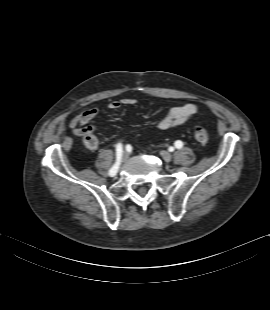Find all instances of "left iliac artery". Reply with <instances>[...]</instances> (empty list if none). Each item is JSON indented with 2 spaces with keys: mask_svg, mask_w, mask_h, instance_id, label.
Masks as SVG:
<instances>
[{
  "mask_svg": "<svg viewBox=\"0 0 270 310\" xmlns=\"http://www.w3.org/2000/svg\"><path fill=\"white\" fill-rule=\"evenodd\" d=\"M175 147L178 148V149L182 148L183 147V142L180 141V140L176 141L175 142Z\"/></svg>",
  "mask_w": 270,
  "mask_h": 310,
  "instance_id": "44dca946",
  "label": "left iliac artery"
}]
</instances>
